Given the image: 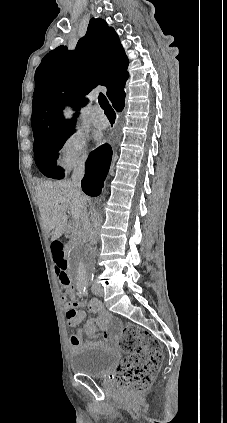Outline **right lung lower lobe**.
I'll use <instances>...</instances> for the list:
<instances>
[{"instance_id":"1","label":"right lung lower lobe","mask_w":227,"mask_h":423,"mask_svg":"<svg viewBox=\"0 0 227 423\" xmlns=\"http://www.w3.org/2000/svg\"><path fill=\"white\" fill-rule=\"evenodd\" d=\"M117 112L124 108V101L113 105ZM112 157L110 145L105 144L90 153L86 162V174L82 180V190L89 196L101 193L103 182L108 173Z\"/></svg>"}]
</instances>
